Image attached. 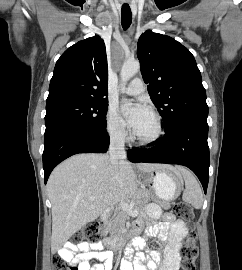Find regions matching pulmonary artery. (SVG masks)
Instances as JSON below:
<instances>
[{"mask_svg": "<svg viewBox=\"0 0 242 270\" xmlns=\"http://www.w3.org/2000/svg\"><path fill=\"white\" fill-rule=\"evenodd\" d=\"M145 90L144 82L140 78H135L131 83L123 90L128 95H138Z\"/></svg>", "mask_w": 242, "mask_h": 270, "instance_id": "obj_1", "label": "pulmonary artery"}]
</instances>
